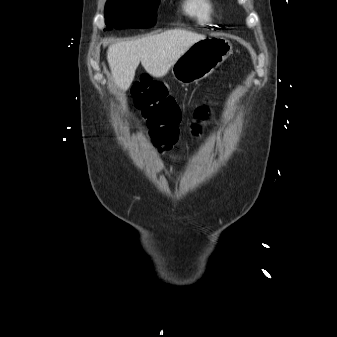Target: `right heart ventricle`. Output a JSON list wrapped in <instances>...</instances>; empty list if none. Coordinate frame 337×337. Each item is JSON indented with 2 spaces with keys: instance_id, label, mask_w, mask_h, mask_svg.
<instances>
[{
  "instance_id": "e07e8e85",
  "label": "right heart ventricle",
  "mask_w": 337,
  "mask_h": 337,
  "mask_svg": "<svg viewBox=\"0 0 337 337\" xmlns=\"http://www.w3.org/2000/svg\"><path fill=\"white\" fill-rule=\"evenodd\" d=\"M182 8L199 25H211L214 21L216 8L212 0H184Z\"/></svg>"
}]
</instances>
